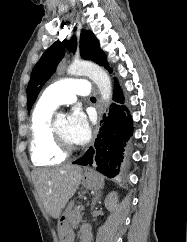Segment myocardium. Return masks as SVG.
Masks as SVG:
<instances>
[{
    "label": "myocardium",
    "mask_w": 187,
    "mask_h": 242,
    "mask_svg": "<svg viewBox=\"0 0 187 242\" xmlns=\"http://www.w3.org/2000/svg\"><path fill=\"white\" fill-rule=\"evenodd\" d=\"M50 133L53 146L60 154L68 156L75 151V147L67 146L58 135L55 127V120H51Z\"/></svg>",
    "instance_id": "1"
}]
</instances>
